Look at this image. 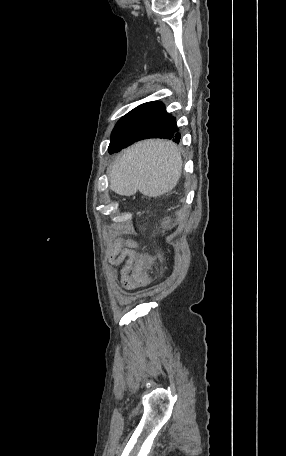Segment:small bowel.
I'll list each match as a JSON object with an SVG mask.
<instances>
[{
    "label": "small bowel",
    "mask_w": 286,
    "mask_h": 456,
    "mask_svg": "<svg viewBox=\"0 0 286 456\" xmlns=\"http://www.w3.org/2000/svg\"><path fill=\"white\" fill-rule=\"evenodd\" d=\"M135 244L128 242L124 247L121 240L114 241L108 250V259L111 264V272L114 277L117 278L116 266L122 265L121 283L128 290H134L139 287V284L135 282L131 276V268L133 266L136 252Z\"/></svg>",
    "instance_id": "obj_1"
}]
</instances>
